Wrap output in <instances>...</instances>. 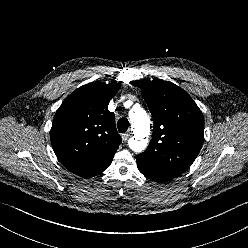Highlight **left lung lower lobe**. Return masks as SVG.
<instances>
[{
  "label": "left lung lower lobe",
  "instance_id": "1",
  "mask_svg": "<svg viewBox=\"0 0 248 248\" xmlns=\"http://www.w3.org/2000/svg\"><path fill=\"white\" fill-rule=\"evenodd\" d=\"M137 167H138L139 171H140L142 174H144L146 177L150 178V179L153 180V181L161 182V181H158L157 179L151 178V177H149L147 174L143 173V171L140 169V167H139L138 165H137Z\"/></svg>",
  "mask_w": 248,
  "mask_h": 248
}]
</instances>
